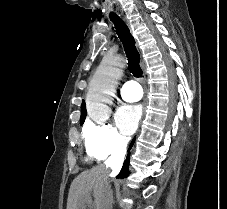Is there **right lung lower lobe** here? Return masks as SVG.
Segmentation results:
<instances>
[{"mask_svg":"<svg viewBox=\"0 0 227 209\" xmlns=\"http://www.w3.org/2000/svg\"><path fill=\"white\" fill-rule=\"evenodd\" d=\"M134 141H135V138L132 140L130 146H129V150L132 148L133 144H134ZM128 150V151H129ZM128 166H129V154L127 156V159L121 169V172L119 173V177H126L128 174H129V171H128Z\"/></svg>","mask_w":227,"mask_h":209,"instance_id":"obj_1","label":"right lung lower lobe"}]
</instances>
